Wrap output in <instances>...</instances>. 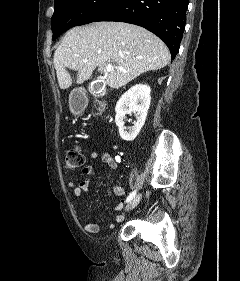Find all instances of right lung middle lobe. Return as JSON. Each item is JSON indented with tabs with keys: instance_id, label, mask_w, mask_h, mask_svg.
<instances>
[{
	"instance_id": "1",
	"label": "right lung middle lobe",
	"mask_w": 240,
	"mask_h": 281,
	"mask_svg": "<svg viewBox=\"0 0 240 281\" xmlns=\"http://www.w3.org/2000/svg\"><path fill=\"white\" fill-rule=\"evenodd\" d=\"M118 0H55L53 40L73 27L94 22Z\"/></svg>"
}]
</instances>
